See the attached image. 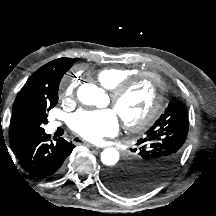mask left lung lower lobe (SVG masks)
Masks as SVG:
<instances>
[{
  "instance_id": "left-lung-lower-lobe-1",
  "label": "left lung lower lobe",
  "mask_w": 216,
  "mask_h": 216,
  "mask_svg": "<svg viewBox=\"0 0 216 216\" xmlns=\"http://www.w3.org/2000/svg\"><path fill=\"white\" fill-rule=\"evenodd\" d=\"M129 171V166L127 163H124L123 165L119 166V168L108 171L104 176V182L115 193L122 196L131 197V195L128 193L133 190V187L123 186L121 182L122 178L127 175Z\"/></svg>"
}]
</instances>
